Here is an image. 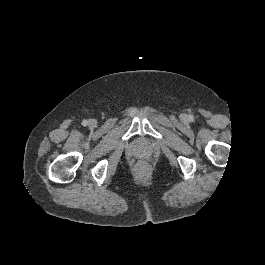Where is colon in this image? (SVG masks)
<instances>
[{"mask_svg": "<svg viewBox=\"0 0 265 265\" xmlns=\"http://www.w3.org/2000/svg\"><path fill=\"white\" fill-rule=\"evenodd\" d=\"M135 167H136V169L138 170V171H144V170H146L147 169V163L146 162H144V161H139V162H137V164L135 165Z\"/></svg>", "mask_w": 265, "mask_h": 265, "instance_id": "5ec220e1", "label": "colon"}]
</instances>
